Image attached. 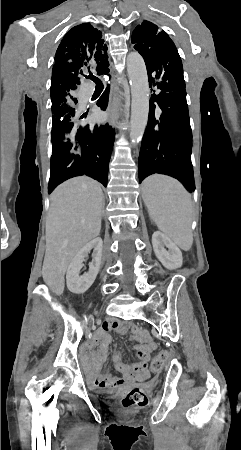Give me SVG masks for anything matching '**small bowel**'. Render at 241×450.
<instances>
[{
    "label": "small bowel",
    "instance_id": "obj_1",
    "mask_svg": "<svg viewBox=\"0 0 241 450\" xmlns=\"http://www.w3.org/2000/svg\"><path fill=\"white\" fill-rule=\"evenodd\" d=\"M119 334L131 333V340L135 343L137 361L128 364L122 360L120 350L112 357L114 369L120 375L100 373L102 363L107 356L108 346L111 342V332ZM99 348L93 356H85L83 363L88 369L91 384L96 388H121L128 385L144 384L150 378L149 361L151 354L158 348L152 335L141 326L130 321L111 320L103 324L101 330L93 340L85 343L86 348Z\"/></svg>",
    "mask_w": 241,
    "mask_h": 450
}]
</instances>
